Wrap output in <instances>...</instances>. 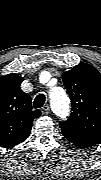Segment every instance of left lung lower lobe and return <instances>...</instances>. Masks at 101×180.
Segmentation results:
<instances>
[{"mask_svg": "<svg viewBox=\"0 0 101 180\" xmlns=\"http://www.w3.org/2000/svg\"><path fill=\"white\" fill-rule=\"evenodd\" d=\"M77 146H79V147H81V148H86V147H84V146H82V145H77Z\"/></svg>", "mask_w": 101, "mask_h": 180, "instance_id": "obj_1", "label": "left lung lower lobe"}]
</instances>
